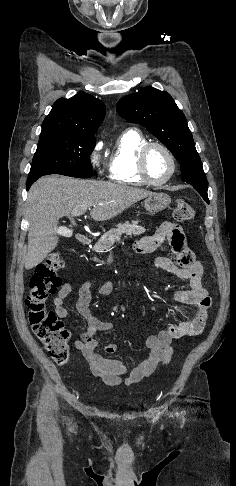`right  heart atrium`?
<instances>
[{"mask_svg":"<svg viewBox=\"0 0 236 486\" xmlns=\"http://www.w3.org/2000/svg\"><path fill=\"white\" fill-rule=\"evenodd\" d=\"M101 149H102V143L97 142L95 144V146L93 147L92 152L90 154L91 163L95 168H97L99 166V163H100Z\"/></svg>","mask_w":236,"mask_h":486,"instance_id":"obj_1","label":"right heart atrium"}]
</instances>
